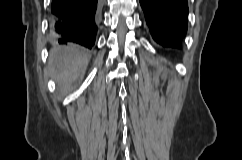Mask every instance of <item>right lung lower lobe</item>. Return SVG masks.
<instances>
[{
    "instance_id": "right-lung-lower-lobe-1",
    "label": "right lung lower lobe",
    "mask_w": 242,
    "mask_h": 160,
    "mask_svg": "<svg viewBox=\"0 0 242 160\" xmlns=\"http://www.w3.org/2000/svg\"><path fill=\"white\" fill-rule=\"evenodd\" d=\"M103 0H52L50 29L60 44L91 49Z\"/></svg>"
}]
</instances>
